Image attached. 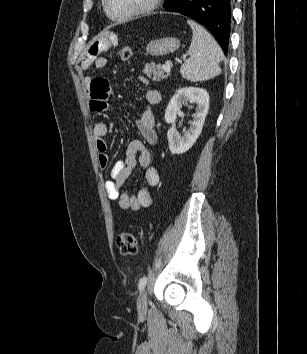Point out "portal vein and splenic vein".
Returning <instances> with one entry per match:
<instances>
[{"label":"portal vein and splenic vein","instance_id":"18ae733b","mask_svg":"<svg viewBox=\"0 0 307 354\" xmlns=\"http://www.w3.org/2000/svg\"><path fill=\"white\" fill-rule=\"evenodd\" d=\"M172 67V62L167 61L165 65H163V69L166 73H170Z\"/></svg>","mask_w":307,"mask_h":354}]
</instances>
